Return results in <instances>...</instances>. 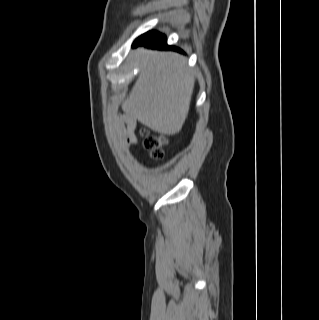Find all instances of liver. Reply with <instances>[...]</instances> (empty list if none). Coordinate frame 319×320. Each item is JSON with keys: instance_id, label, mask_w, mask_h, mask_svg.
Returning <instances> with one entry per match:
<instances>
[{"instance_id": "obj_1", "label": "liver", "mask_w": 319, "mask_h": 320, "mask_svg": "<svg viewBox=\"0 0 319 320\" xmlns=\"http://www.w3.org/2000/svg\"><path fill=\"white\" fill-rule=\"evenodd\" d=\"M141 72L122 109L151 130L179 133L187 118L195 78L174 52L139 50Z\"/></svg>"}]
</instances>
